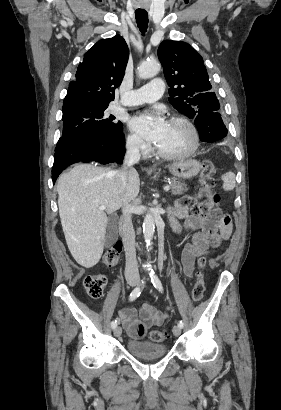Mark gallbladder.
<instances>
[{"label":"gallbladder","mask_w":281,"mask_h":410,"mask_svg":"<svg viewBox=\"0 0 281 410\" xmlns=\"http://www.w3.org/2000/svg\"><path fill=\"white\" fill-rule=\"evenodd\" d=\"M111 223H113V218L110 219V223L107 225L106 228V235L104 241L106 246L112 245L117 237L116 227L113 226Z\"/></svg>","instance_id":"bac80fb5"}]
</instances>
